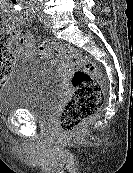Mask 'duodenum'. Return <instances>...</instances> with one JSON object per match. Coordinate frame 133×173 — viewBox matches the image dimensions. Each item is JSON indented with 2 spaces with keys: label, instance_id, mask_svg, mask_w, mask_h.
<instances>
[{
  "label": "duodenum",
  "instance_id": "obj_1",
  "mask_svg": "<svg viewBox=\"0 0 133 173\" xmlns=\"http://www.w3.org/2000/svg\"><path fill=\"white\" fill-rule=\"evenodd\" d=\"M11 3L14 6L19 5L22 10V13L25 17H27V18L32 17L31 6L28 2H26L25 0H11Z\"/></svg>",
  "mask_w": 133,
  "mask_h": 173
}]
</instances>
